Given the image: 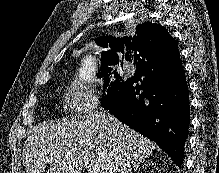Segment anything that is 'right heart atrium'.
I'll return each instance as SVG.
<instances>
[{"mask_svg": "<svg viewBox=\"0 0 219 173\" xmlns=\"http://www.w3.org/2000/svg\"><path fill=\"white\" fill-rule=\"evenodd\" d=\"M103 95L92 86L73 81L66 90V103L77 115H88L101 103Z\"/></svg>", "mask_w": 219, "mask_h": 173, "instance_id": "obj_1", "label": "right heart atrium"}]
</instances>
